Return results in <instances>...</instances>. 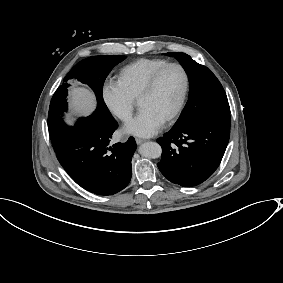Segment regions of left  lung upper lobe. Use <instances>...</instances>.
Wrapping results in <instances>:
<instances>
[{
    "label": "left lung upper lobe",
    "mask_w": 283,
    "mask_h": 283,
    "mask_svg": "<svg viewBox=\"0 0 283 283\" xmlns=\"http://www.w3.org/2000/svg\"><path fill=\"white\" fill-rule=\"evenodd\" d=\"M175 56L188 74L190 93L188 102L174 126L186 127L198 120L230 116L226 93L216 76L205 66L196 63L185 53H168Z\"/></svg>",
    "instance_id": "5c2ea615"
}]
</instances>
